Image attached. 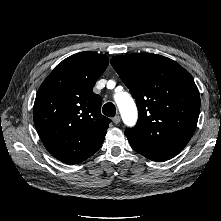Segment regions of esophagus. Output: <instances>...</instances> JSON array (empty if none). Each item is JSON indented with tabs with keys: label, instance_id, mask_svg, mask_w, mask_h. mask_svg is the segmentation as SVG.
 I'll return each instance as SVG.
<instances>
[{
	"label": "esophagus",
	"instance_id": "1",
	"mask_svg": "<svg viewBox=\"0 0 221 221\" xmlns=\"http://www.w3.org/2000/svg\"><path fill=\"white\" fill-rule=\"evenodd\" d=\"M120 121H121V118H120L119 115H117V116H115V117L113 118V122H114L115 124H119Z\"/></svg>",
	"mask_w": 221,
	"mask_h": 221
}]
</instances>
